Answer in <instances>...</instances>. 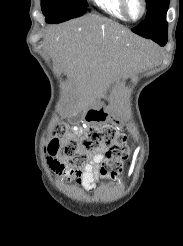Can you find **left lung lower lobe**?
<instances>
[{"mask_svg":"<svg viewBox=\"0 0 183 246\" xmlns=\"http://www.w3.org/2000/svg\"><path fill=\"white\" fill-rule=\"evenodd\" d=\"M149 39H152L153 41L158 43L160 46H164L167 43V34L162 35V36H158V37H152Z\"/></svg>","mask_w":183,"mask_h":246,"instance_id":"1","label":"left lung lower lobe"}]
</instances>
